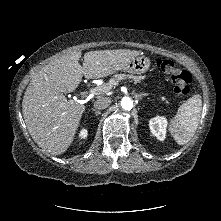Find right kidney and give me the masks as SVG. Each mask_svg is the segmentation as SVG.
I'll list each match as a JSON object with an SVG mask.
<instances>
[{
	"instance_id": "obj_1",
	"label": "right kidney",
	"mask_w": 221,
	"mask_h": 221,
	"mask_svg": "<svg viewBox=\"0 0 221 221\" xmlns=\"http://www.w3.org/2000/svg\"><path fill=\"white\" fill-rule=\"evenodd\" d=\"M87 134H88V131H87L86 129H82V130L80 131V133H79V137H80L81 139H84V138L87 137Z\"/></svg>"
}]
</instances>
